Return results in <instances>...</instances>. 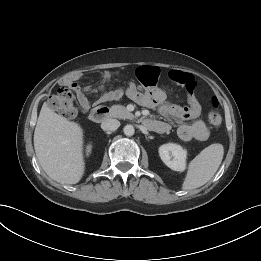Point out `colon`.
<instances>
[{"mask_svg":"<svg viewBox=\"0 0 261 261\" xmlns=\"http://www.w3.org/2000/svg\"><path fill=\"white\" fill-rule=\"evenodd\" d=\"M49 104L52 109L64 118L72 119L77 115L74 95L68 86L60 88L58 92L50 98ZM212 107L213 109L208 115V121L213 128H218L221 125L222 118L216 110L217 102L215 100L212 102Z\"/></svg>","mask_w":261,"mask_h":261,"instance_id":"colon-1","label":"colon"}]
</instances>
